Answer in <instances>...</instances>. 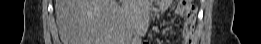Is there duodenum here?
Instances as JSON below:
<instances>
[{
    "mask_svg": "<svg viewBox=\"0 0 261 44\" xmlns=\"http://www.w3.org/2000/svg\"><path fill=\"white\" fill-rule=\"evenodd\" d=\"M136 27L140 35L145 34L148 31L149 27V15L144 9L138 10L136 12Z\"/></svg>",
    "mask_w": 261,
    "mask_h": 44,
    "instance_id": "obj_1",
    "label": "duodenum"
}]
</instances>
